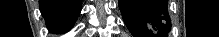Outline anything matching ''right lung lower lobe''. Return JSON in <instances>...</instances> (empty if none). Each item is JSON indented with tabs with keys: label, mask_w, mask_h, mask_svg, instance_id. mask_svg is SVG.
Returning a JSON list of instances; mask_svg holds the SVG:
<instances>
[{
	"label": "right lung lower lobe",
	"mask_w": 219,
	"mask_h": 37,
	"mask_svg": "<svg viewBox=\"0 0 219 37\" xmlns=\"http://www.w3.org/2000/svg\"><path fill=\"white\" fill-rule=\"evenodd\" d=\"M80 0H40V10L47 27L55 33L68 31L80 12Z\"/></svg>",
	"instance_id": "1"
}]
</instances>
